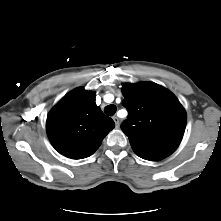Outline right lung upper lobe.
I'll return each instance as SVG.
<instances>
[{
	"label": "right lung upper lobe",
	"instance_id": "right-lung-upper-lobe-1",
	"mask_svg": "<svg viewBox=\"0 0 221 221\" xmlns=\"http://www.w3.org/2000/svg\"><path fill=\"white\" fill-rule=\"evenodd\" d=\"M95 92L77 88L65 95L47 117L53 147L72 159L90 156L115 124L95 103Z\"/></svg>",
	"mask_w": 221,
	"mask_h": 221
}]
</instances>
